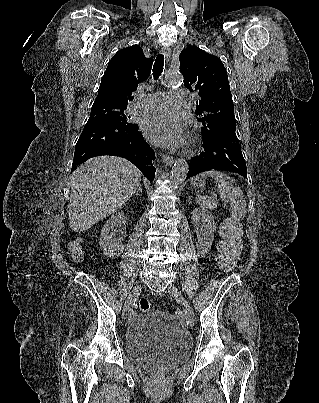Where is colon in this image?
Returning a JSON list of instances; mask_svg holds the SVG:
<instances>
[{
	"mask_svg": "<svg viewBox=\"0 0 319 403\" xmlns=\"http://www.w3.org/2000/svg\"><path fill=\"white\" fill-rule=\"evenodd\" d=\"M220 232L222 240L218 245V265L222 270H230L242 253V229L237 221L227 220L222 223ZM69 250L75 261L82 259L83 253L78 242L71 243ZM150 307L149 300L140 299L139 308L141 311H149Z\"/></svg>",
	"mask_w": 319,
	"mask_h": 403,
	"instance_id": "5ec220e1",
	"label": "colon"
}]
</instances>
